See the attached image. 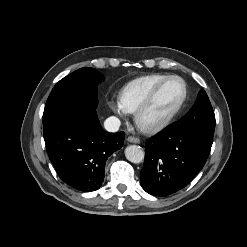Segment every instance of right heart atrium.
<instances>
[{
  "label": "right heart atrium",
  "mask_w": 247,
  "mask_h": 247,
  "mask_svg": "<svg viewBox=\"0 0 247 247\" xmlns=\"http://www.w3.org/2000/svg\"><path fill=\"white\" fill-rule=\"evenodd\" d=\"M109 104V107L117 114L119 115H125L126 112L125 110L123 109V107L121 106L119 100H115V99H111L109 100L108 102Z\"/></svg>",
  "instance_id": "d8ad5b80"
}]
</instances>
